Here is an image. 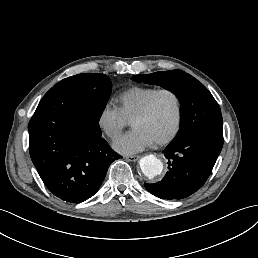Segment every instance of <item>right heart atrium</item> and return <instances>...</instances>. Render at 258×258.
Masks as SVG:
<instances>
[{"label":"right heart atrium","instance_id":"right-heart-atrium-1","mask_svg":"<svg viewBox=\"0 0 258 258\" xmlns=\"http://www.w3.org/2000/svg\"><path fill=\"white\" fill-rule=\"evenodd\" d=\"M100 125L108 135H115L126 127L127 121L117 107H112L102 112Z\"/></svg>","mask_w":258,"mask_h":258}]
</instances>
